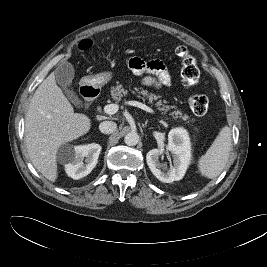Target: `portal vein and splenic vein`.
I'll use <instances>...</instances> for the list:
<instances>
[{"mask_svg":"<svg viewBox=\"0 0 267 267\" xmlns=\"http://www.w3.org/2000/svg\"><path fill=\"white\" fill-rule=\"evenodd\" d=\"M127 105H131V106H135V107H138L148 113H154V110L150 107H148L147 105L141 103V102H138V101H128L126 102ZM119 110V105L117 104H109V105H106L104 107V112L108 115H113L115 113H117Z\"/></svg>","mask_w":267,"mask_h":267,"instance_id":"portal-vein-and-splenic-vein-1","label":"portal vein and splenic vein"}]
</instances>
